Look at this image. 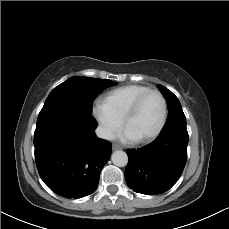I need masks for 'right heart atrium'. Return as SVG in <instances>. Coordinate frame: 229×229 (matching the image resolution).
Masks as SVG:
<instances>
[{"instance_id":"d8ad5b80","label":"right heart atrium","mask_w":229,"mask_h":229,"mask_svg":"<svg viewBox=\"0 0 229 229\" xmlns=\"http://www.w3.org/2000/svg\"><path fill=\"white\" fill-rule=\"evenodd\" d=\"M92 110L103 135L107 139L114 138L121 129V120L113 115L102 100L95 101Z\"/></svg>"}]
</instances>
